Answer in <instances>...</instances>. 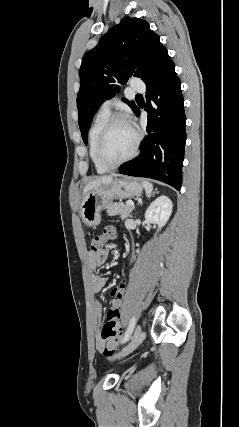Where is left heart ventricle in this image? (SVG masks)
<instances>
[{"mask_svg": "<svg viewBox=\"0 0 239 427\" xmlns=\"http://www.w3.org/2000/svg\"><path fill=\"white\" fill-rule=\"evenodd\" d=\"M135 142L133 129L124 122L117 123L110 131L103 150L104 157L116 162L126 157Z\"/></svg>", "mask_w": 239, "mask_h": 427, "instance_id": "1", "label": "left heart ventricle"}]
</instances>
